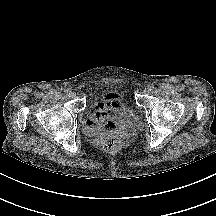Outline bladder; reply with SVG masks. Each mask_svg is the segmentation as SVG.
<instances>
[{
    "label": "bladder",
    "mask_w": 216,
    "mask_h": 216,
    "mask_svg": "<svg viewBox=\"0 0 216 216\" xmlns=\"http://www.w3.org/2000/svg\"><path fill=\"white\" fill-rule=\"evenodd\" d=\"M116 128H135L140 127V122L134 110H128L124 114H120L115 119Z\"/></svg>",
    "instance_id": "1"
}]
</instances>
